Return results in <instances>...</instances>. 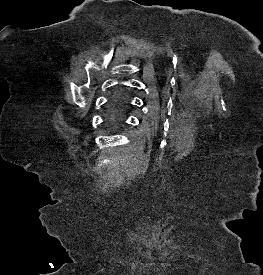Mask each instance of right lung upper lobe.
<instances>
[{
    "mask_svg": "<svg viewBox=\"0 0 263 275\" xmlns=\"http://www.w3.org/2000/svg\"><path fill=\"white\" fill-rule=\"evenodd\" d=\"M126 106L125 99L123 97L117 98L114 108L112 110V120L118 121Z\"/></svg>",
    "mask_w": 263,
    "mask_h": 275,
    "instance_id": "cb5924a9",
    "label": "right lung upper lobe"
}]
</instances>
